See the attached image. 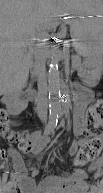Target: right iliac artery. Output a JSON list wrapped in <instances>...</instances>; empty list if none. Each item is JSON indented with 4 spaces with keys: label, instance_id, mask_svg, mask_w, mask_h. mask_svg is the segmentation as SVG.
<instances>
[{
    "label": "right iliac artery",
    "instance_id": "1",
    "mask_svg": "<svg viewBox=\"0 0 103 193\" xmlns=\"http://www.w3.org/2000/svg\"><path fill=\"white\" fill-rule=\"evenodd\" d=\"M56 125H57L56 115H55V114H52L51 120H50L48 126L46 127V129H45V131H44V134H49Z\"/></svg>",
    "mask_w": 103,
    "mask_h": 193
}]
</instances>
